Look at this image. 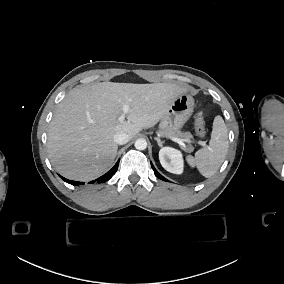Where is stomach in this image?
<instances>
[{
	"instance_id": "stomach-1",
	"label": "stomach",
	"mask_w": 284,
	"mask_h": 284,
	"mask_svg": "<svg viewBox=\"0 0 284 284\" xmlns=\"http://www.w3.org/2000/svg\"><path fill=\"white\" fill-rule=\"evenodd\" d=\"M194 108V99L187 92L180 94L169 106L162 118L160 128L167 132L176 126L179 128L190 118ZM178 128V129H179Z\"/></svg>"
}]
</instances>
